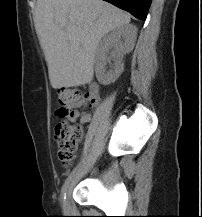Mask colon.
I'll list each match as a JSON object with an SVG mask.
<instances>
[{"label":"colon","mask_w":202,"mask_h":217,"mask_svg":"<svg viewBox=\"0 0 202 217\" xmlns=\"http://www.w3.org/2000/svg\"><path fill=\"white\" fill-rule=\"evenodd\" d=\"M57 96L56 114L59 120L55 125V138L58 158L63 165H71L84 136L83 128L70 122L73 121L71 113L75 106L85 104L89 97L79 90L69 88L59 89Z\"/></svg>","instance_id":"obj_1"}]
</instances>
